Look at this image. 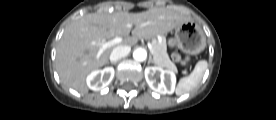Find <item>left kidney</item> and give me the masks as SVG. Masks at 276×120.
Listing matches in <instances>:
<instances>
[{"label":"left kidney","instance_id":"1","mask_svg":"<svg viewBox=\"0 0 276 120\" xmlns=\"http://www.w3.org/2000/svg\"><path fill=\"white\" fill-rule=\"evenodd\" d=\"M145 79L149 87L160 94H171L176 84V76L170 70L152 66L145 68ZM160 78V82L157 79Z\"/></svg>","mask_w":276,"mask_h":120}]
</instances>
